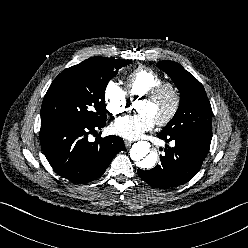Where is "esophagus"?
I'll list each match as a JSON object with an SVG mask.
<instances>
[{
    "label": "esophagus",
    "instance_id": "1",
    "mask_svg": "<svg viewBox=\"0 0 248 248\" xmlns=\"http://www.w3.org/2000/svg\"><path fill=\"white\" fill-rule=\"evenodd\" d=\"M124 144L126 147H129V146H131L132 142L129 140H124Z\"/></svg>",
    "mask_w": 248,
    "mask_h": 248
}]
</instances>
